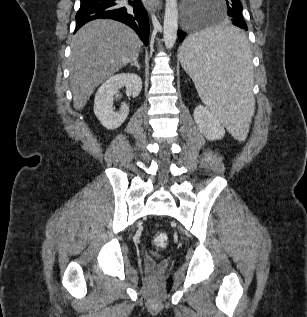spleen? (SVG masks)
<instances>
[{"label": "spleen", "instance_id": "3e777b00", "mask_svg": "<svg viewBox=\"0 0 307 317\" xmlns=\"http://www.w3.org/2000/svg\"><path fill=\"white\" fill-rule=\"evenodd\" d=\"M180 61L202 102L234 138L243 139L255 103L246 29L203 26L184 41Z\"/></svg>", "mask_w": 307, "mask_h": 317}]
</instances>
